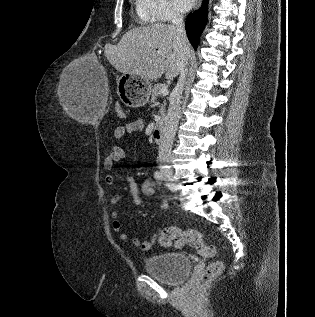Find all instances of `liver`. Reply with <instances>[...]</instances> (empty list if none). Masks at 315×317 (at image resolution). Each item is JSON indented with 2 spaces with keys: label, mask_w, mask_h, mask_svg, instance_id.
I'll use <instances>...</instances> for the list:
<instances>
[{
  "label": "liver",
  "mask_w": 315,
  "mask_h": 317,
  "mask_svg": "<svg viewBox=\"0 0 315 317\" xmlns=\"http://www.w3.org/2000/svg\"><path fill=\"white\" fill-rule=\"evenodd\" d=\"M191 47L170 24L157 23L126 32L117 45H107L104 55L121 73L157 80L173 79L189 59Z\"/></svg>",
  "instance_id": "liver-1"
}]
</instances>
